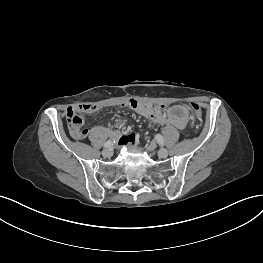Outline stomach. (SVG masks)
I'll list each match as a JSON object with an SVG mask.
<instances>
[{
    "mask_svg": "<svg viewBox=\"0 0 263 263\" xmlns=\"http://www.w3.org/2000/svg\"><path fill=\"white\" fill-rule=\"evenodd\" d=\"M164 113L170 119H177L179 121H184L189 117L190 110L184 104H179L177 102H170L165 106Z\"/></svg>",
    "mask_w": 263,
    "mask_h": 263,
    "instance_id": "obj_1",
    "label": "stomach"
}]
</instances>
